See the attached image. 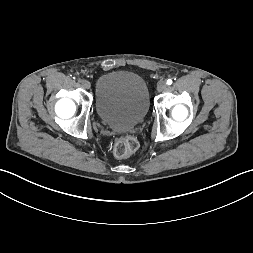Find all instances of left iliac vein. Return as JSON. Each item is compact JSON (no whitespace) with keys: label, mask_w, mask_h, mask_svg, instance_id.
<instances>
[{"label":"left iliac vein","mask_w":253,"mask_h":253,"mask_svg":"<svg viewBox=\"0 0 253 253\" xmlns=\"http://www.w3.org/2000/svg\"><path fill=\"white\" fill-rule=\"evenodd\" d=\"M167 83L165 81H160L157 85V91L158 92H163L167 89Z\"/></svg>","instance_id":"4c4485c4"}]
</instances>
